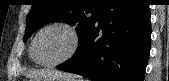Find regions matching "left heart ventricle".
Here are the masks:
<instances>
[{"mask_svg": "<svg viewBox=\"0 0 169 81\" xmlns=\"http://www.w3.org/2000/svg\"><path fill=\"white\" fill-rule=\"evenodd\" d=\"M71 46L72 38L66 30L52 28L38 37L36 54L41 62L52 63L64 57Z\"/></svg>", "mask_w": 169, "mask_h": 81, "instance_id": "1", "label": "left heart ventricle"}]
</instances>
